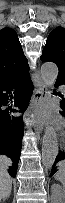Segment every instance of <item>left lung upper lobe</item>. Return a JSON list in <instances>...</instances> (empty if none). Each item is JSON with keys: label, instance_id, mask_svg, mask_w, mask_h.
Wrapping results in <instances>:
<instances>
[{"label": "left lung upper lobe", "instance_id": "left-lung-upper-lobe-1", "mask_svg": "<svg viewBox=\"0 0 65 203\" xmlns=\"http://www.w3.org/2000/svg\"><path fill=\"white\" fill-rule=\"evenodd\" d=\"M41 60L54 62L59 69L58 77L65 78V28L57 27L49 34Z\"/></svg>", "mask_w": 65, "mask_h": 203}]
</instances>
